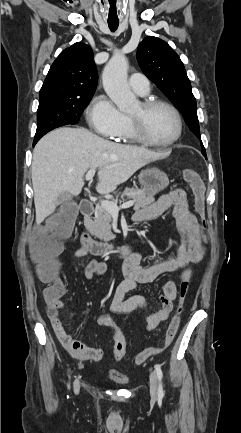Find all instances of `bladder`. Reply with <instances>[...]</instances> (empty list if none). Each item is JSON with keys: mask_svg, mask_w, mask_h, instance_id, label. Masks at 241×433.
Returning <instances> with one entry per match:
<instances>
[{"mask_svg": "<svg viewBox=\"0 0 241 433\" xmlns=\"http://www.w3.org/2000/svg\"><path fill=\"white\" fill-rule=\"evenodd\" d=\"M109 378L118 386H126L129 383V379L127 376L119 374L116 371H110Z\"/></svg>", "mask_w": 241, "mask_h": 433, "instance_id": "31cf9c89", "label": "bladder"}]
</instances>
